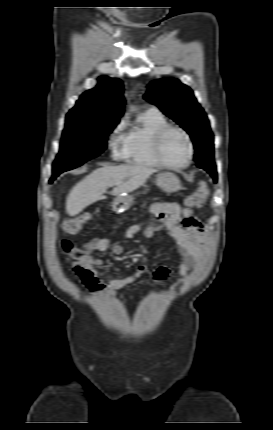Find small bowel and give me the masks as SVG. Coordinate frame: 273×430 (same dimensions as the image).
<instances>
[{
    "instance_id": "c3829d8e",
    "label": "small bowel",
    "mask_w": 273,
    "mask_h": 430,
    "mask_svg": "<svg viewBox=\"0 0 273 430\" xmlns=\"http://www.w3.org/2000/svg\"><path fill=\"white\" fill-rule=\"evenodd\" d=\"M150 214L153 216L152 222L164 225L176 239L178 244L179 263L178 270L180 273L179 283L183 282L187 277L194 264L201 259L202 248L206 242V234L201 222L195 218L191 211L184 210L182 212L180 206L171 202L154 203L149 208ZM142 231V224L131 226L125 233L126 239L136 237ZM146 236L152 235V229L144 230ZM91 250L107 252L111 250L115 255H120L123 248L120 245L112 244L109 238L99 237L93 239L89 243ZM146 249L142 247L144 255L142 263L138 266L135 272L122 278H111L107 282L104 281L102 274H96L92 269V265L101 267V262L90 259L88 256L80 258V263L73 264L74 272L80 277V282L93 293L98 294L103 291H108L115 296L117 291L133 284L147 270L145 263ZM114 272H117L114 269ZM169 272L166 268H161L156 274L159 279H165Z\"/></svg>"
}]
</instances>
